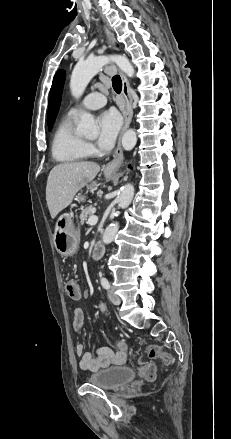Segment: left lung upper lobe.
<instances>
[{
	"label": "left lung upper lobe",
	"instance_id": "left-lung-upper-lobe-1",
	"mask_svg": "<svg viewBox=\"0 0 231 439\" xmlns=\"http://www.w3.org/2000/svg\"><path fill=\"white\" fill-rule=\"evenodd\" d=\"M64 80H65L64 71L57 72L53 79V83L49 95V108H48V119H47L49 130H51L59 110Z\"/></svg>",
	"mask_w": 231,
	"mask_h": 439
}]
</instances>
